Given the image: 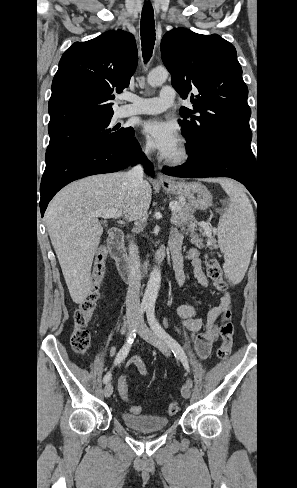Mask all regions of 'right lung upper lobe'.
Segmentation results:
<instances>
[{
  "label": "right lung upper lobe",
  "instance_id": "1",
  "mask_svg": "<svg viewBox=\"0 0 297 488\" xmlns=\"http://www.w3.org/2000/svg\"><path fill=\"white\" fill-rule=\"evenodd\" d=\"M137 62L136 42L130 33L108 31L74 43L61 57L52 81L49 133L113 116L112 93L129 85Z\"/></svg>",
  "mask_w": 297,
  "mask_h": 488
}]
</instances>
